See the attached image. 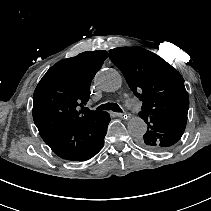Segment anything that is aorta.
Here are the masks:
<instances>
[{
	"mask_svg": "<svg viewBox=\"0 0 211 211\" xmlns=\"http://www.w3.org/2000/svg\"><path fill=\"white\" fill-rule=\"evenodd\" d=\"M95 83L105 92H115L122 85L120 74L114 69H103L95 76ZM130 134L141 137L147 130L146 123L139 116L131 117L127 124Z\"/></svg>",
	"mask_w": 211,
	"mask_h": 211,
	"instance_id": "1",
	"label": "aorta"
}]
</instances>
